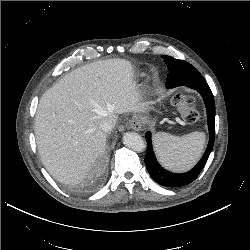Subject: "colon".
Masks as SVG:
<instances>
[{"mask_svg": "<svg viewBox=\"0 0 250 250\" xmlns=\"http://www.w3.org/2000/svg\"><path fill=\"white\" fill-rule=\"evenodd\" d=\"M172 102L186 121L193 123L198 120L199 112L192 97L179 93L173 97Z\"/></svg>", "mask_w": 250, "mask_h": 250, "instance_id": "1", "label": "colon"}]
</instances>
